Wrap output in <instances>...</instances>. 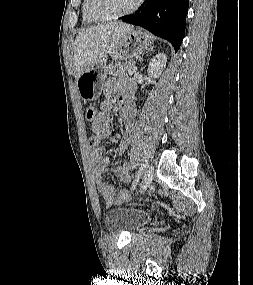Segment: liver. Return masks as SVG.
I'll list each match as a JSON object with an SVG mask.
<instances>
[{
	"label": "liver",
	"instance_id": "6515ba94",
	"mask_svg": "<svg viewBox=\"0 0 253 285\" xmlns=\"http://www.w3.org/2000/svg\"><path fill=\"white\" fill-rule=\"evenodd\" d=\"M132 29L133 25L115 22L89 27L79 32L74 45L75 79L110 53Z\"/></svg>",
	"mask_w": 253,
	"mask_h": 285
}]
</instances>
